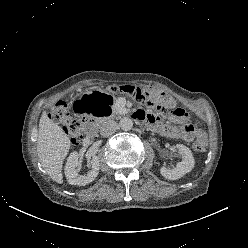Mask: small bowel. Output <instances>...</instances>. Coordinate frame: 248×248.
Returning a JSON list of instances; mask_svg holds the SVG:
<instances>
[{
    "label": "small bowel",
    "mask_w": 248,
    "mask_h": 248,
    "mask_svg": "<svg viewBox=\"0 0 248 248\" xmlns=\"http://www.w3.org/2000/svg\"><path fill=\"white\" fill-rule=\"evenodd\" d=\"M138 112L141 114L142 120H146L154 129L160 131L166 137L181 139L186 142H191L194 139L206 140V134L202 130L196 129L191 123L187 122L186 119H177L183 123L182 128L177 129L170 125L161 124L158 118L153 114H145L141 110Z\"/></svg>",
    "instance_id": "c3829d8e"
}]
</instances>
